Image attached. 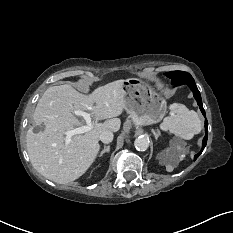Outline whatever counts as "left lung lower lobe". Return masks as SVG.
<instances>
[{"mask_svg": "<svg viewBox=\"0 0 233 233\" xmlns=\"http://www.w3.org/2000/svg\"><path fill=\"white\" fill-rule=\"evenodd\" d=\"M173 85H182V84H187L189 86V88L192 90L193 92V95L200 107V110L202 112V114L205 116V110L203 108V105H202V99H201V95H200V92L195 84V81L193 78H187V79H184L182 81H173L172 82ZM205 137L203 139V143H202V149L201 151L195 155L194 157V160H196L198 158V156L202 153V151L204 150L206 144H207V137H208V122H207V119H205Z\"/></svg>", "mask_w": 233, "mask_h": 233, "instance_id": "1", "label": "left lung lower lobe"}]
</instances>
